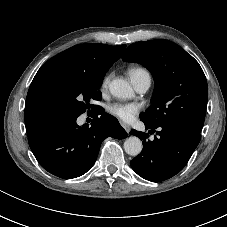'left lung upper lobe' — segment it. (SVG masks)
I'll return each instance as SVG.
<instances>
[{"mask_svg": "<svg viewBox=\"0 0 227 227\" xmlns=\"http://www.w3.org/2000/svg\"><path fill=\"white\" fill-rule=\"evenodd\" d=\"M123 61L137 62L153 75L152 105L140 119L152 126L183 125L201 132L208 87L199 63L179 45L168 40L140 41L131 44Z\"/></svg>", "mask_w": 227, "mask_h": 227, "instance_id": "obj_1", "label": "left lung upper lobe"}]
</instances>
